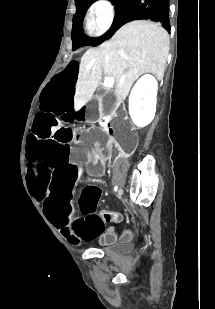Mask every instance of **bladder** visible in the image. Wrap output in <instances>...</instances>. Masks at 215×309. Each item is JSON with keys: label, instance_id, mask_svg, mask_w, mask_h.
Returning <instances> with one entry per match:
<instances>
[{"label": "bladder", "instance_id": "bladder-1", "mask_svg": "<svg viewBox=\"0 0 215 309\" xmlns=\"http://www.w3.org/2000/svg\"><path fill=\"white\" fill-rule=\"evenodd\" d=\"M132 250H133V246L131 244L125 243V244L119 245L115 249V253L120 256H125V255L130 254Z\"/></svg>", "mask_w": 215, "mask_h": 309}]
</instances>
